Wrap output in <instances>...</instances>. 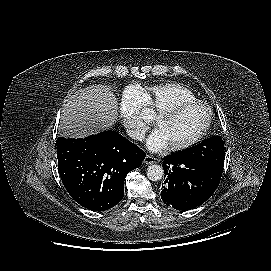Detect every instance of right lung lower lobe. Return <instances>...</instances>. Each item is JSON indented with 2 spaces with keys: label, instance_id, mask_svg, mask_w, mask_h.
Returning <instances> with one entry per match:
<instances>
[{
  "label": "right lung lower lobe",
  "instance_id": "98d812e1",
  "mask_svg": "<svg viewBox=\"0 0 271 271\" xmlns=\"http://www.w3.org/2000/svg\"><path fill=\"white\" fill-rule=\"evenodd\" d=\"M58 172L70 196L92 211H104L121 201L126 175L141 166L146 154L116 131L85 139L59 137Z\"/></svg>",
  "mask_w": 271,
  "mask_h": 271
}]
</instances>
